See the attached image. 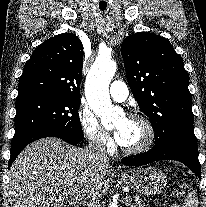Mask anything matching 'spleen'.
<instances>
[{
    "mask_svg": "<svg viewBox=\"0 0 206 207\" xmlns=\"http://www.w3.org/2000/svg\"><path fill=\"white\" fill-rule=\"evenodd\" d=\"M182 207H198V197L195 191H192L187 195Z\"/></svg>",
    "mask_w": 206,
    "mask_h": 207,
    "instance_id": "3e777b00",
    "label": "spleen"
}]
</instances>
